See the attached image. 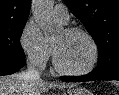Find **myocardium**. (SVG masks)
Returning a JSON list of instances; mask_svg holds the SVG:
<instances>
[{"label":"myocardium","mask_w":119,"mask_h":95,"mask_svg":"<svg viewBox=\"0 0 119 95\" xmlns=\"http://www.w3.org/2000/svg\"><path fill=\"white\" fill-rule=\"evenodd\" d=\"M65 31L69 34L83 35L89 41V43L92 46V50H93L92 60L89 63V65L83 69H80V70L68 69V68L62 66L61 63L59 62L56 50L53 46V64H54L55 69L59 73L69 75V76H84V75L91 73L96 68V66L99 62V58H100V49H99V46H98L95 38L88 31H86L82 28H78V27H71V28L66 29Z\"/></svg>","instance_id":"1"}]
</instances>
